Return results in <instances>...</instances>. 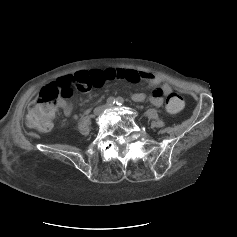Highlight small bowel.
<instances>
[{
	"label": "small bowel",
	"mask_w": 237,
	"mask_h": 237,
	"mask_svg": "<svg viewBox=\"0 0 237 237\" xmlns=\"http://www.w3.org/2000/svg\"><path fill=\"white\" fill-rule=\"evenodd\" d=\"M98 72L102 74L104 78V83L96 87H101L106 83H110L116 80H124L131 83H136L139 82L140 80L148 82L152 87H156L154 93L149 97L150 102L156 107L162 106L164 102V97L172 92L171 85L164 82L160 76L154 73L139 72L131 69H116V68H108L104 71H98ZM132 99L135 102H143L146 99V96L143 93H135L132 96ZM59 106L66 115H69L71 113L72 108L69 103L62 102Z\"/></svg>",
	"instance_id": "1"
}]
</instances>
